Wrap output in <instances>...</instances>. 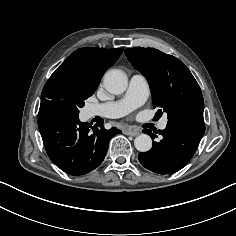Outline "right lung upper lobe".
<instances>
[{"label":"right lung upper lobe","instance_id":"1","mask_svg":"<svg viewBox=\"0 0 236 236\" xmlns=\"http://www.w3.org/2000/svg\"><path fill=\"white\" fill-rule=\"evenodd\" d=\"M124 48H81L72 53L51 77L67 74L92 88H97L104 72L112 66Z\"/></svg>","mask_w":236,"mask_h":236}]
</instances>
